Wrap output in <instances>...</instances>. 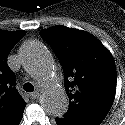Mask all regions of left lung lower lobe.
<instances>
[{
	"mask_svg": "<svg viewBox=\"0 0 125 125\" xmlns=\"http://www.w3.org/2000/svg\"><path fill=\"white\" fill-rule=\"evenodd\" d=\"M55 121L57 125H88L85 123L76 122V121L66 119V118H56Z\"/></svg>",
	"mask_w": 125,
	"mask_h": 125,
	"instance_id": "left-lung-lower-lobe-1",
	"label": "left lung lower lobe"
}]
</instances>
